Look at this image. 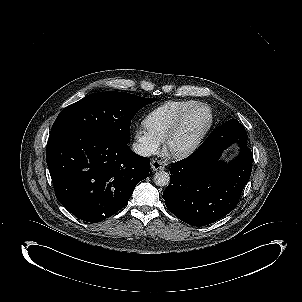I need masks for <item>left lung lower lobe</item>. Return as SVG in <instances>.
Listing matches in <instances>:
<instances>
[{
    "label": "left lung lower lobe",
    "mask_w": 302,
    "mask_h": 302,
    "mask_svg": "<svg viewBox=\"0 0 302 302\" xmlns=\"http://www.w3.org/2000/svg\"><path fill=\"white\" fill-rule=\"evenodd\" d=\"M205 142L172 165L171 181L162 196L177 218L193 226H205L229 214L252 171L247 142L239 143L240 155L228 164L219 161L223 148Z\"/></svg>",
    "instance_id": "1"
}]
</instances>
